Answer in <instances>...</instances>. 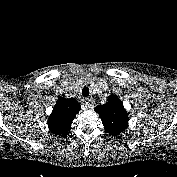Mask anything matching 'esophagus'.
I'll list each match as a JSON object with an SVG mask.
<instances>
[{
	"mask_svg": "<svg viewBox=\"0 0 177 177\" xmlns=\"http://www.w3.org/2000/svg\"><path fill=\"white\" fill-rule=\"evenodd\" d=\"M94 105V102L91 98L85 99V107L91 108Z\"/></svg>",
	"mask_w": 177,
	"mask_h": 177,
	"instance_id": "1",
	"label": "esophagus"
}]
</instances>
